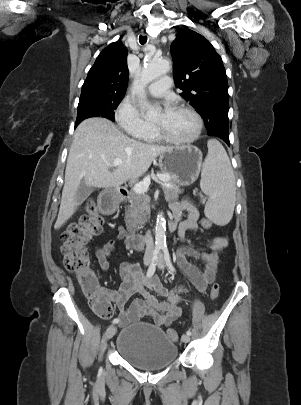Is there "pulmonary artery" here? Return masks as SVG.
I'll return each mask as SVG.
<instances>
[{
  "instance_id": "pulmonary-artery-1",
  "label": "pulmonary artery",
  "mask_w": 301,
  "mask_h": 405,
  "mask_svg": "<svg viewBox=\"0 0 301 405\" xmlns=\"http://www.w3.org/2000/svg\"><path fill=\"white\" fill-rule=\"evenodd\" d=\"M172 79L169 76H163L155 80L148 86V91L154 96L164 95L170 88Z\"/></svg>"
}]
</instances>
